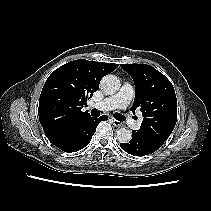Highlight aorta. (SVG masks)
Returning a JSON list of instances; mask_svg holds the SVG:
<instances>
[{"instance_id": "762f6f07", "label": "aorta", "mask_w": 211, "mask_h": 211, "mask_svg": "<svg viewBox=\"0 0 211 211\" xmlns=\"http://www.w3.org/2000/svg\"><path fill=\"white\" fill-rule=\"evenodd\" d=\"M100 85L104 93L114 94L120 88V81L117 76L109 74L103 77ZM116 137L120 143H128L132 138V133L126 128H120L116 132Z\"/></svg>"}]
</instances>
